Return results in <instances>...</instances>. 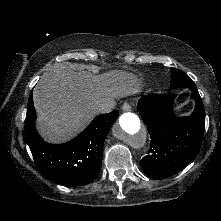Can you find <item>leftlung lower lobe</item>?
<instances>
[{"mask_svg":"<svg viewBox=\"0 0 221 221\" xmlns=\"http://www.w3.org/2000/svg\"><path fill=\"white\" fill-rule=\"evenodd\" d=\"M189 89L196 106L188 117H176L173 95H144L137 109L150 134L148 155L140 165L147 176L162 178L173 175L188 166L197 156L204 135L205 111L194 85Z\"/></svg>","mask_w":221,"mask_h":221,"instance_id":"left-lung-lower-lobe-1","label":"left lung lower lobe"}]
</instances>
